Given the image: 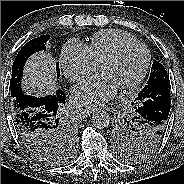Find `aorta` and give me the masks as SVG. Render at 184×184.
I'll return each mask as SVG.
<instances>
[{"mask_svg":"<svg viewBox=\"0 0 184 184\" xmlns=\"http://www.w3.org/2000/svg\"><path fill=\"white\" fill-rule=\"evenodd\" d=\"M110 123V115L106 111H97L92 115V124L99 129L106 128Z\"/></svg>","mask_w":184,"mask_h":184,"instance_id":"1","label":"aorta"}]
</instances>
